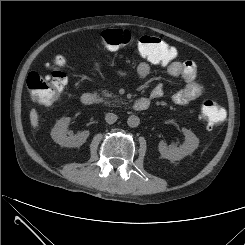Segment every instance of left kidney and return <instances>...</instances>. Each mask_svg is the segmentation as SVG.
<instances>
[{
  "label": "left kidney",
  "instance_id": "obj_1",
  "mask_svg": "<svg viewBox=\"0 0 245 245\" xmlns=\"http://www.w3.org/2000/svg\"><path fill=\"white\" fill-rule=\"evenodd\" d=\"M182 132L185 135V142L179 147L167 145L164 141H160L158 148L163 158L170 161H177L191 154L198 148L199 139L196 135L186 128H182Z\"/></svg>",
  "mask_w": 245,
  "mask_h": 245
}]
</instances>
